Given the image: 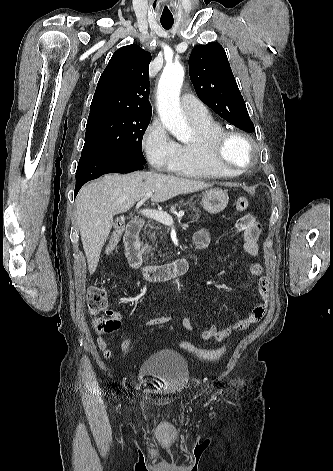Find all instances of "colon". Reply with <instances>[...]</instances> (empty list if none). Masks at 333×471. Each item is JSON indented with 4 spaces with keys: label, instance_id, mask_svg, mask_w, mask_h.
<instances>
[{
    "label": "colon",
    "instance_id": "1",
    "mask_svg": "<svg viewBox=\"0 0 333 471\" xmlns=\"http://www.w3.org/2000/svg\"><path fill=\"white\" fill-rule=\"evenodd\" d=\"M249 201L247 197L241 196L235 202V209L238 212H242L247 209ZM124 230L122 222H117L114 226L113 233L107 245V252L111 253L116 248L119 238ZM87 304L90 313L94 316L95 325L99 331L110 332L119 326V320L113 318L112 313L107 310L108 302L107 295L104 289L100 287H91L87 294ZM132 340L127 338L123 340L121 348L123 352L127 353L132 348ZM178 346L197 357L214 361L221 358L226 352V347H220L217 349H202L188 341H180Z\"/></svg>",
    "mask_w": 333,
    "mask_h": 471
}]
</instances>
